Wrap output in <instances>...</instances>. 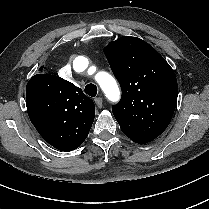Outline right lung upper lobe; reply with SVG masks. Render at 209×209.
<instances>
[{"label": "right lung upper lobe", "instance_id": "obj_1", "mask_svg": "<svg viewBox=\"0 0 209 209\" xmlns=\"http://www.w3.org/2000/svg\"><path fill=\"white\" fill-rule=\"evenodd\" d=\"M26 106L39 134L50 144H67L63 151L74 150L83 143L95 117L94 102L79 87L46 73L29 80Z\"/></svg>", "mask_w": 209, "mask_h": 209}]
</instances>
